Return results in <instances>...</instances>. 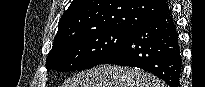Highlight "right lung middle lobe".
I'll return each mask as SVG.
<instances>
[{
  "mask_svg": "<svg viewBox=\"0 0 205 87\" xmlns=\"http://www.w3.org/2000/svg\"><path fill=\"white\" fill-rule=\"evenodd\" d=\"M132 30L100 29L55 42L46 60L47 71L84 70L100 64L131 36Z\"/></svg>",
  "mask_w": 205,
  "mask_h": 87,
  "instance_id": "1",
  "label": "right lung middle lobe"
}]
</instances>
